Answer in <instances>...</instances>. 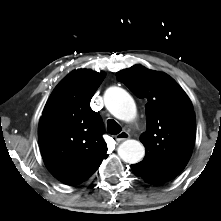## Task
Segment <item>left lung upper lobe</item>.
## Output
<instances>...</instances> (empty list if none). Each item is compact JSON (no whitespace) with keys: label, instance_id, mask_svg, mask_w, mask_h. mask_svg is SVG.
I'll return each mask as SVG.
<instances>
[{"label":"left lung upper lobe","instance_id":"5c2ea615","mask_svg":"<svg viewBox=\"0 0 221 221\" xmlns=\"http://www.w3.org/2000/svg\"><path fill=\"white\" fill-rule=\"evenodd\" d=\"M137 97L146 98L145 158L131 166L152 185L175 178L187 165L195 140V114L183 89L167 74L135 65L116 74Z\"/></svg>","mask_w":221,"mask_h":221}]
</instances>
